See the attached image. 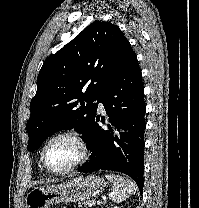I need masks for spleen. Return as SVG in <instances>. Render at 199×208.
Returning <instances> with one entry per match:
<instances>
[{
  "instance_id": "1",
  "label": "spleen",
  "mask_w": 199,
  "mask_h": 208,
  "mask_svg": "<svg viewBox=\"0 0 199 208\" xmlns=\"http://www.w3.org/2000/svg\"><path fill=\"white\" fill-rule=\"evenodd\" d=\"M112 183V201L120 203L136 192V187L132 181L119 175L105 176Z\"/></svg>"
}]
</instances>
